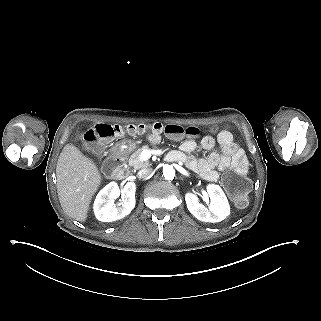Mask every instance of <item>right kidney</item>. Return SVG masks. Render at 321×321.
<instances>
[{
  "label": "right kidney",
  "instance_id": "right-kidney-1",
  "mask_svg": "<svg viewBox=\"0 0 321 321\" xmlns=\"http://www.w3.org/2000/svg\"><path fill=\"white\" fill-rule=\"evenodd\" d=\"M134 182H128L122 189L124 200L120 207H116L114 200L120 196V189L116 182H110L97 194L93 210L96 218L102 222H112L124 218L135 207Z\"/></svg>",
  "mask_w": 321,
  "mask_h": 321
}]
</instances>
